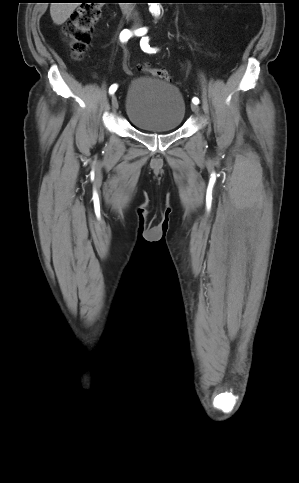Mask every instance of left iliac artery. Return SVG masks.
I'll use <instances>...</instances> for the list:
<instances>
[{
	"mask_svg": "<svg viewBox=\"0 0 299 483\" xmlns=\"http://www.w3.org/2000/svg\"><path fill=\"white\" fill-rule=\"evenodd\" d=\"M149 42V38L148 37H142L141 41H140V46H141V49L144 51V52H147V53H156V49L154 48H151L150 45L148 44ZM192 102L194 104H198L199 103V99L197 97H194L192 99Z\"/></svg>",
	"mask_w": 299,
	"mask_h": 483,
	"instance_id": "left-iliac-artery-1",
	"label": "left iliac artery"
}]
</instances>
